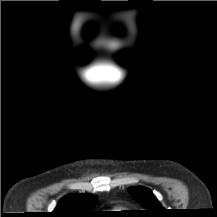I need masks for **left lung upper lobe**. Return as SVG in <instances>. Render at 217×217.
<instances>
[{
  "label": "left lung upper lobe",
  "instance_id": "1",
  "mask_svg": "<svg viewBox=\"0 0 217 217\" xmlns=\"http://www.w3.org/2000/svg\"><path fill=\"white\" fill-rule=\"evenodd\" d=\"M128 192L135 201L147 209L144 211L146 214L158 217L165 213L166 209L162 207L150 189L143 186H135L129 188Z\"/></svg>",
  "mask_w": 217,
  "mask_h": 217
}]
</instances>
